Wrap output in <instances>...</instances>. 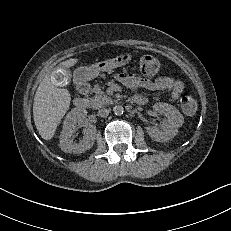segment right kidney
Returning a JSON list of instances; mask_svg holds the SVG:
<instances>
[{
	"label": "right kidney",
	"mask_w": 231,
	"mask_h": 231,
	"mask_svg": "<svg viewBox=\"0 0 231 231\" xmlns=\"http://www.w3.org/2000/svg\"><path fill=\"white\" fill-rule=\"evenodd\" d=\"M87 113L83 110H71L64 122L63 130L60 134V148L66 153L80 154L90 149L94 145L96 136V126L89 125L83 129V139L79 143H73L71 139L72 134L77 130V123H82L86 118Z\"/></svg>",
	"instance_id": "obj_1"
}]
</instances>
